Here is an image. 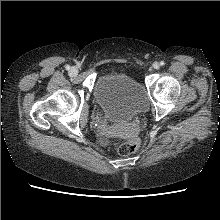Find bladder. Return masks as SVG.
<instances>
[{
	"label": "bladder",
	"instance_id": "1",
	"mask_svg": "<svg viewBox=\"0 0 220 220\" xmlns=\"http://www.w3.org/2000/svg\"><path fill=\"white\" fill-rule=\"evenodd\" d=\"M94 98L104 115L115 123L129 122L147 107L143 86L132 76L119 71L97 79Z\"/></svg>",
	"mask_w": 220,
	"mask_h": 220
}]
</instances>
